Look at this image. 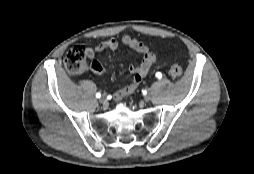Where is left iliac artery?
<instances>
[{"instance_id":"left-iliac-artery-1","label":"left iliac artery","mask_w":254,"mask_h":174,"mask_svg":"<svg viewBox=\"0 0 254 174\" xmlns=\"http://www.w3.org/2000/svg\"><path fill=\"white\" fill-rule=\"evenodd\" d=\"M156 77L160 79V78H162V74L160 72H157Z\"/></svg>"}]
</instances>
